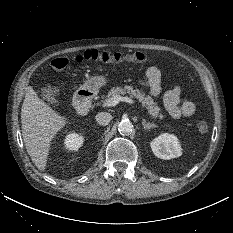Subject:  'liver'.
<instances>
[{"label":"liver","mask_w":233,"mask_h":233,"mask_svg":"<svg viewBox=\"0 0 233 233\" xmlns=\"http://www.w3.org/2000/svg\"><path fill=\"white\" fill-rule=\"evenodd\" d=\"M21 123L26 150L36 167L44 171L50 142L66 125L67 119L49 107L29 86L22 104Z\"/></svg>","instance_id":"obj_1"}]
</instances>
